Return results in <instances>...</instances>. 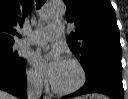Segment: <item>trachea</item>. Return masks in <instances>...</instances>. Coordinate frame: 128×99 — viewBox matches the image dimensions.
Segmentation results:
<instances>
[{
    "instance_id": "3493384b",
    "label": "trachea",
    "mask_w": 128,
    "mask_h": 99,
    "mask_svg": "<svg viewBox=\"0 0 128 99\" xmlns=\"http://www.w3.org/2000/svg\"><path fill=\"white\" fill-rule=\"evenodd\" d=\"M44 3H45V0H36L37 9H39Z\"/></svg>"
}]
</instances>
